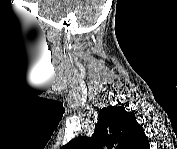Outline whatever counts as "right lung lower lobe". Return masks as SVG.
<instances>
[{
	"label": "right lung lower lobe",
	"instance_id": "obj_1",
	"mask_svg": "<svg viewBox=\"0 0 177 149\" xmlns=\"http://www.w3.org/2000/svg\"><path fill=\"white\" fill-rule=\"evenodd\" d=\"M143 148L148 149L149 148V143L143 146Z\"/></svg>",
	"mask_w": 177,
	"mask_h": 149
}]
</instances>
